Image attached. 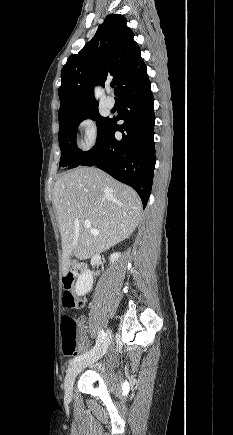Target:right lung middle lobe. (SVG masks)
Listing matches in <instances>:
<instances>
[{
	"label": "right lung middle lobe",
	"mask_w": 233,
	"mask_h": 435,
	"mask_svg": "<svg viewBox=\"0 0 233 435\" xmlns=\"http://www.w3.org/2000/svg\"><path fill=\"white\" fill-rule=\"evenodd\" d=\"M96 120L98 135L97 142L103 137L111 119L102 117L99 114L98 108H93L82 114L60 117L59 118V146L61 149L60 167L68 166L69 169L79 166L91 152H82L76 145V132L78 125L84 119Z\"/></svg>",
	"instance_id": "dd1d6c3e"
}]
</instances>
